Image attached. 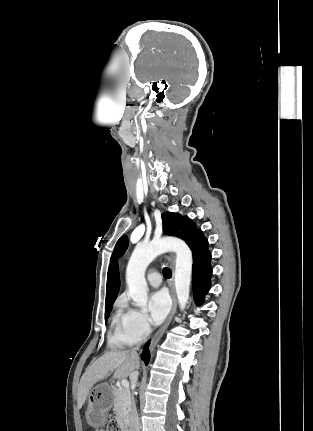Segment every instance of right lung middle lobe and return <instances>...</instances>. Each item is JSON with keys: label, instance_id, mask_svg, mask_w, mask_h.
<instances>
[{"label": "right lung middle lobe", "instance_id": "1", "mask_svg": "<svg viewBox=\"0 0 313 431\" xmlns=\"http://www.w3.org/2000/svg\"><path fill=\"white\" fill-rule=\"evenodd\" d=\"M111 309H112V306L105 308V321H107Z\"/></svg>", "mask_w": 313, "mask_h": 431}]
</instances>
